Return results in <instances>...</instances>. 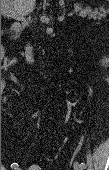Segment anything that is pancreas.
Wrapping results in <instances>:
<instances>
[{
	"instance_id": "cf45deb5",
	"label": "pancreas",
	"mask_w": 109,
	"mask_h": 170,
	"mask_svg": "<svg viewBox=\"0 0 109 170\" xmlns=\"http://www.w3.org/2000/svg\"><path fill=\"white\" fill-rule=\"evenodd\" d=\"M75 12L78 14V16L81 17H88L89 19H101L102 17H106L105 10L104 9H95L92 10L91 8H82L79 5L74 6Z\"/></svg>"
}]
</instances>
